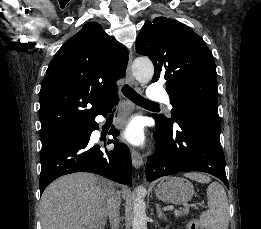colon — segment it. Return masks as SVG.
<instances>
[{
    "mask_svg": "<svg viewBox=\"0 0 261 229\" xmlns=\"http://www.w3.org/2000/svg\"><path fill=\"white\" fill-rule=\"evenodd\" d=\"M188 229H198V224H196L195 222H191Z\"/></svg>",
    "mask_w": 261,
    "mask_h": 229,
    "instance_id": "5ec220e1",
    "label": "colon"
}]
</instances>
